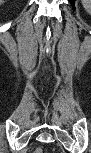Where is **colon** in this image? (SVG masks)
<instances>
[{
	"mask_svg": "<svg viewBox=\"0 0 91 153\" xmlns=\"http://www.w3.org/2000/svg\"><path fill=\"white\" fill-rule=\"evenodd\" d=\"M36 153H42V149H41V148H38V149L36 150Z\"/></svg>",
	"mask_w": 91,
	"mask_h": 153,
	"instance_id": "1",
	"label": "colon"
}]
</instances>
